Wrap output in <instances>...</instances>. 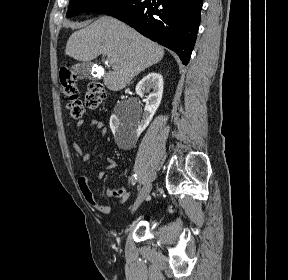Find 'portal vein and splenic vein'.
<instances>
[{
    "mask_svg": "<svg viewBox=\"0 0 288 280\" xmlns=\"http://www.w3.org/2000/svg\"><path fill=\"white\" fill-rule=\"evenodd\" d=\"M107 61H108V63L110 64V65H113V59L111 58V57H107Z\"/></svg>",
    "mask_w": 288,
    "mask_h": 280,
    "instance_id": "18ae733b",
    "label": "portal vein and splenic vein"
}]
</instances>
